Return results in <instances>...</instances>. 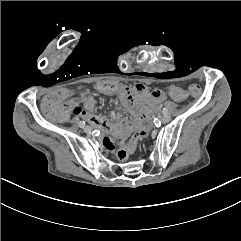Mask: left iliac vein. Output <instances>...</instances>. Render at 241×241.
I'll use <instances>...</instances> for the list:
<instances>
[{
	"mask_svg": "<svg viewBox=\"0 0 241 241\" xmlns=\"http://www.w3.org/2000/svg\"><path fill=\"white\" fill-rule=\"evenodd\" d=\"M171 120L170 115L166 114L161 118L162 123H168Z\"/></svg>",
	"mask_w": 241,
	"mask_h": 241,
	"instance_id": "1",
	"label": "left iliac vein"
}]
</instances>
